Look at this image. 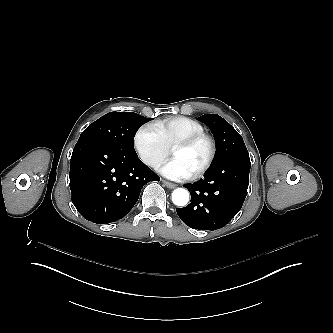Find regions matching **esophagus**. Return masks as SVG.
I'll return each mask as SVG.
<instances>
[{
	"instance_id": "34e87169",
	"label": "esophagus",
	"mask_w": 333,
	"mask_h": 333,
	"mask_svg": "<svg viewBox=\"0 0 333 333\" xmlns=\"http://www.w3.org/2000/svg\"><path fill=\"white\" fill-rule=\"evenodd\" d=\"M162 182L166 185L167 188L169 189H174L177 187V184H174L172 182H169L167 180H162Z\"/></svg>"
}]
</instances>
